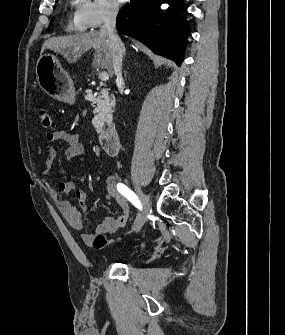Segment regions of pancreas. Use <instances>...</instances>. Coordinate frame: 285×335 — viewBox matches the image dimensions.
Instances as JSON below:
<instances>
[{"label":"pancreas","mask_w":285,"mask_h":335,"mask_svg":"<svg viewBox=\"0 0 285 335\" xmlns=\"http://www.w3.org/2000/svg\"><path fill=\"white\" fill-rule=\"evenodd\" d=\"M87 93L92 91L90 86L85 88ZM99 94H104V96H96L95 104H97L91 123L92 125H106L110 124L112 118V112H114L113 100L110 96H107V90H101Z\"/></svg>","instance_id":"1"}]
</instances>
